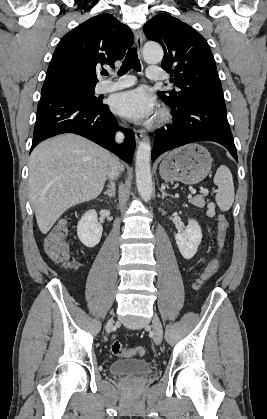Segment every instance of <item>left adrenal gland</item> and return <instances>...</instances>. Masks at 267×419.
<instances>
[{"label": "left adrenal gland", "mask_w": 267, "mask_h": 419, "mask_svg": "<svg viewBox=\"0 0 267 419\" xmlns=\"http://www.w3.org/2000/svg\"><path fill=\"white\" fill-rule=\"evenodd\" d=\"M160 192H161V198L162 199H164L166 196H170V197H173L172 195H170V194H167L165 191H164V189H160Z\"/></svg>", "instance_id": "1"}]
</instances>
